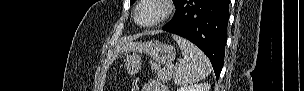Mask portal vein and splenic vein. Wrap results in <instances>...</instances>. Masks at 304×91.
I'll return each instance as SVG.
<instances>
[{
	"instance_id": "portal-vein-and-splenic-vein-1",
	"label": "portal vein and splenic vein",
	"mask_w": 304,
	"mask_h": 91,
	"mask_svg": "<svg viewBox=\"0 0 304 91\" xmlns=\"http://www.w3.org/2000/svg\"><path fill=\"white\" fill-rule=\"evenodd\" d=\"M168 67L170 68V69H173V65L172 64H170V65H168Z\"/></svg>"
}]
</instances>
